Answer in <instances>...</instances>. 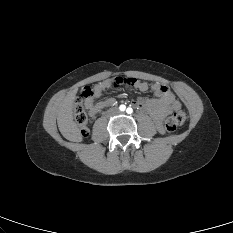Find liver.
Here are the masks:
<instances>
[{
	"instance_id": "6515ba94",
	"label": "liver",
	"mask_w": 233,
	"mask_h": 233,
	"mask_svg": "<svg viewBox=\"0 0 233 233\" xmlns=\"http://www.w3.org/2000/svg\"><path fill=\"white\" fill-rule=\"evenodd\" d=\"M77 90L67 93L58 107L57 124L61 134L68 140H73L79 130L73 120V105Z\"/></svg>"
}]
</instances>
